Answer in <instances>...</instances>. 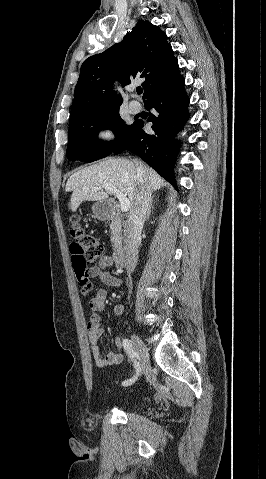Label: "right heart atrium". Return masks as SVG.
Returning a JSON list of instances; mask_svg holds the SVG:
<instances>
[{
    "mask_svg": "<svg viewBox=\"0 0 266 479\" xmlns=\"http://www.w3.org/2000/svg\"><path fill=\"white\" fill-rule=\"evenodd\" d=\"M96 138L101 145H109L115 140V132L111 127H103L98 130Z\"/></svg>",
    "mask_w": 266,
    "mask_h": 479,
    "instance_id": "1",
    "label": "right heart atrium"
}]
</instances>
